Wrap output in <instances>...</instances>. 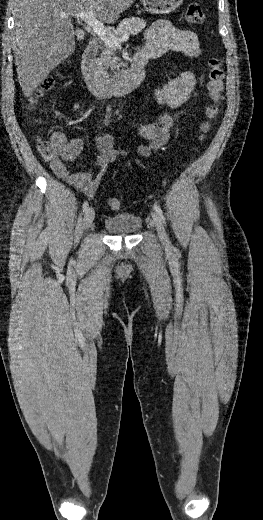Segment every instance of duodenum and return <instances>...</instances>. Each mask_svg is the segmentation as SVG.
Wrapping results in <instances>:
<instances>
[{
  "instance_id": "duodenum-1",
  "label": "duodenum",
  "mask_w": 263,
  "mask_h": 520,
  "mask_svg": "<svg viewBox=\"0 0 263 520\" xmlns=\"http://www.w3.org/2000/svg\"><path fill=\"white\" fill-rule=\"evenodd\" d=\"M98 44L92 39L85 48L81 59V70L88 88L98 96H123L135 90L145 77V65L151 58L143 51L135 53L128 73L119 80H109L101 75L95 57Z\"/></svg>"
}]
</instances>
